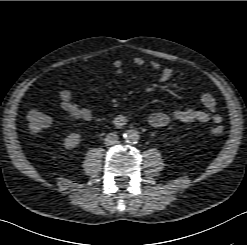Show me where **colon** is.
I'll list each match as a JSON object with an SVG mask.
<instances>
[{
    "instance_id": "1",
    "label": "colon",
    "mask_w": 247,
    "mask_h": 245,
    "mask_svg": "<svg viewBox=\"0 0 247 245\" xmlns=\"http://www.w3.org/2000/svg\"><path fill=\"white\" fill-rule=\"evenodd\" d=\"M27 121L29 130L34 134L42 132L50 124L48 116L37 109H31L28 111ZM223 131L224 127L220 123H217L211 128L212 134L215 135H220L223 133Z\"/></svg>"
}]
</instances>
